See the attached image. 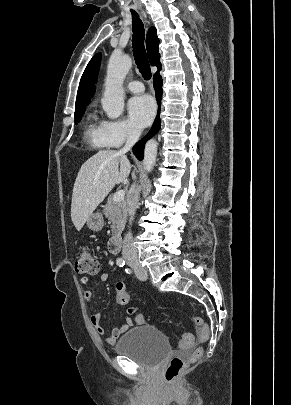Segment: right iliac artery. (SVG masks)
Masks as SVG:
<instances>
[{
	"label": "right iliac artery",
	"mask_w": 291,
	"mask_h": 405,
	"mask_svg": "<svg viewBox=\"0 0 291 405\" xmlns=\"http://www.w3.org/2000/svg\"><path fill=\"white\" fill-rule=\"evenodd\" d=\"M117 265H118L119 267H123V266L125 265V261L120 258V259L117 260Z\"/></svg>",
	"instance_id": "right-iliac-artery-1"
}]
</instances>
